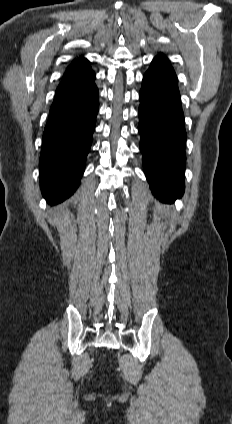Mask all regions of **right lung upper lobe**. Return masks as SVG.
<instances>
[{
    "instance_id": "right-lung-upper-lobe-1",
    "label": "right lung upper lobe",
    "mask_w": 232,
    "mask_h": 424,
    "mask_svg": "<svg viewBox=\"0 0 232 424\" xmlns=\"http://www.w3.org/2000/svg\"><path fill=\"white\" fill-rule=\"evenodd\" d=\"M89 72H93L91 70L90 62L84 57H79L73 60L72 63L68 66L67 70L65 71L62 77V81L74 75H79V74H84Z\"/></svg>"
}]
</instances>
